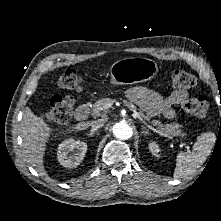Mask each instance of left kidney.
Masks as SVG:
<instances>
[{
	"instance_id": "1",
	"label": "left kidney",
	"mask_w": 221,
	"mask_h": 221,
	"mask_svg": "<svg viewBox=\"0 0 221 221\" xmlns=\"http://www.w3.org/2000/svg\"><path fill=\"white\" fill-rule=\"evenodd\" d=\"M149 150L154 155L155 157H159L160 155L158 154L160 152L159 146L155 142H150L149 143Z\"/></svg>"
}]
</instances>
